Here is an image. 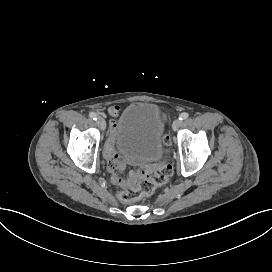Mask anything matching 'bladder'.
<instances>
[{
  "label": "bladder",
  "mask_w": 272,
  "mask_h": 272,
  "mask_svg": "<svg viewBox=\"0 0 272 272\" xmlns=\"http://www.w3.org/2000/svg\"><path fill=\"white\" fill-rule=\"evenodd\" d=\"M116 151L136 163L156 164L163 153L166 120L156 104H129L120 114Z\"/></svg>",
  "instance_id": "bladder-1"
}]
</instances>
